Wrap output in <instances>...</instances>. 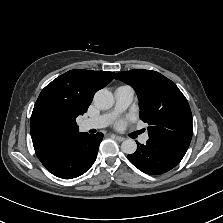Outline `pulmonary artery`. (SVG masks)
<instances>
[{"mask_svg": "<svg viewBox=\"0 0 223 223\" xmlns=\"http://www.w3.org/2000/svg\"><path fill=\"white\" fill-rule=\"evenodd\" d=\"M114 96V109L97 117L86 119L83 122V126L85 129H100L108 126L119 113L126 110L131 105L134 98V91L130 86L122 85L116 88V90L114 91ZM138 141L142 145L147 144L149 141L148 135H140Z\"/></svg>", "mask_w": 223, "mask_h": 223, "instance_id": "e3ab8cb5", "label": "pulmonary artery"}]
</instances>
